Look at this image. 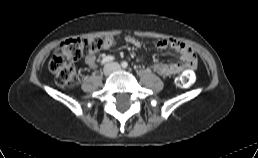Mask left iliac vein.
I'll list each match as a JSON object with an SVG mask.
<instances>
[{"mask_svg":"<svg viewBox=\"0 0 258 158\" xmlns=\"http://www.w3.org/2000/svg\"><path fill=\"white\" fill-rule=\"evenodd\" d=\"M113 70H121V66L118 63H112Z\"/></svg>","mask_w":258,"mask_h":158,"instance_id":"4c4485c4","label":"left iliac vein"}]
</instances>
